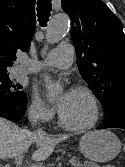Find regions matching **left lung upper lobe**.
<instances>
[{"label":"left lung upper lobe","instance_id":"left-lung-upper-lobe-1","mask_svg":"<svg viewBox=\"0 0 125 167\" xmlns=\"http://www.w3.org/2000/svg\"><path fill=\"white\" fill-rule=\"evenodd\" d=\"M72 21L80 74L104 112L125 107V35L121 20L100 0H61Z\"/></svg>","mask_w":125,"mask_h":167}]
</instances>
